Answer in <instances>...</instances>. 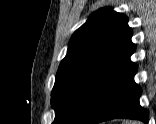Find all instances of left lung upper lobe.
<instances>
[{
  "mask_svg": "<svg viewBox=\"0 0 156 124\" xmlns=\"http://www.w3.org/2000/svg\"><path fill=\"white\" fill-rule=\"evenodd\" d=\"M127 22L105 7L72 35L51 93L53 124H78L106 80L135 50Z\"/></svg>",
  "mask_w": 156,
  "mask_h": 124,
  "instance_id": "obj_1",
  "label": "left lung upper lobe"
}]
</instances>
